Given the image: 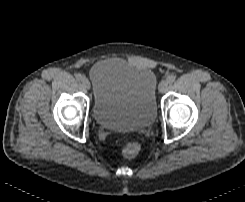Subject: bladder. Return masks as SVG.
I'll return each mask as SVG.
<instances>
[{
    "label": "bladder",
    "instance_id": "bladder-1",
    "mask_svg": "<svg viewBox=\"0 0 245 202\" xmlns=\"http://www.w3.org/2000/svg\"><path fill=\"white\" fill-rule=\"evenodd\" d=\"M92 113L105 128L130 132L149 127L157 114V78L148 67L124 60L100 62L90 71Z\"/></svg>",
    "mask_w": 245,
    "mask_h": 202
}]
</instances>
